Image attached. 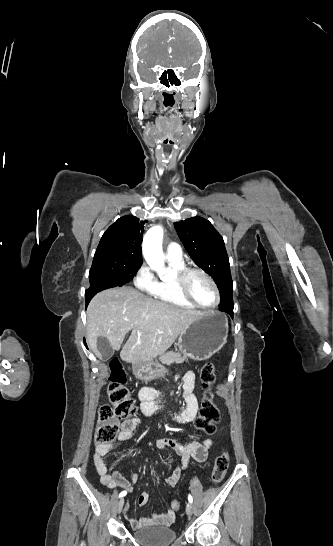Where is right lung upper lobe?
I'll return each instance as SVG.
<instances>
[{
  "instance_id": "1",
  "label": "right lung upper lobe",
  "mask_w": 333,
  "mask_h": 546,
  "mask_svg": "<svg viewBox=\"0 0 333 546\" xmlns=\"http://www.w3.org/2000/svg\"><path fill=\"white\" fill-rule=\"evenodd\" d=\"M146 221L126 215L119 218L103 234L96 253H117L130 258L133 266L142 265L141 242Z\"/></svg>"
}]
</instances>
